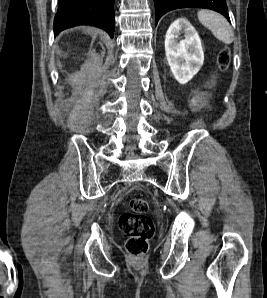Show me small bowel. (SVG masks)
<instances>
[{
  "label": "small bowel",
  "mask_w": 267,
  "mask_h": 298,
  "mask_svg": "<svg viewBox=\"0 0 267 298\" xmlns=\"http://www.w3.org/2000/svg\"><path fill=\"white\" fill-rule=\"evenodd\" d=\"M204 104H205V99L202 95H197L193 97L191 100V105L196 109L201 108Z\"/></svg>",
  "instance_id": "obj_1"
}]
</instances>
